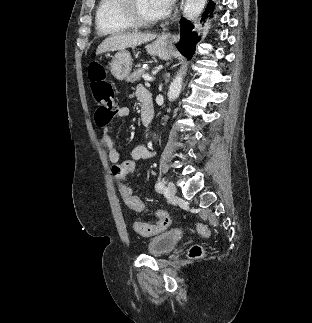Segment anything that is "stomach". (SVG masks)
Masks as SVG:
<instances>
[{
  "label": "stomach",
  "instance_id": "1",
  "mask_svg": "<svg viewBox=\"0 0 312 323\" xmlns=\"http://www.w3.org/2000/svg\"><path fill=\"white\" fill-rule=\"evenodd\" d=\"M170 44L171 42L168 36L163 34V36H158L153 44L146 46L147 52L150 56H158L161 60H169L171 52ZM110 70L112 76H114L116 80H125V78H128L132 70L130 52H127V50H120V52H117L111 60Z\"/></svg>",
  "mask_w": 312,
  "mask_h": 323
}]
</instances>
